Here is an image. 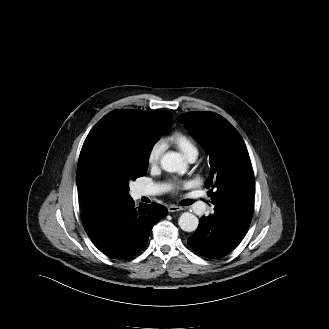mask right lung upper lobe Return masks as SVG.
Returning a JSON list of instances; mask_svg holds the SVG:
<instances>
[{
    "label": "right lung upper lobe",
    "instance_id": "obj_1",
    "mask_svg": "<svg viewBox=\"0 0 329 329\" xmlns=\"http://www.w3.org/2000/svg\"><path fill=\"white\" fill-rule=\"evenodd\" d=\"M170 111L115 110L105 115L90 131L81 149L79 160L97 150L110 137L109 123L115 122L123 130L144 133L155 123L171 119Z\"/></svg>",
    "mask_w": 329,
    "mask_h": 329
}]
</instances>
